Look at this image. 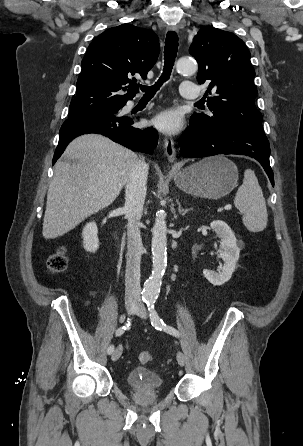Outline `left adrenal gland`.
<instances>
[{"label": "left adrenal gland", "mask_w": 303, "mask_h": 446, "mask_svg": "<svg viewBox=\"0 0 303 446\" xmlns=\"http://www.w3.org/2000/svg\"><path fill=\"white\" fill-rule=\"evenodd\" d=\"M192 210V208H185V209H183L182 207H181V204H180V202L178 203V211H179V213L181 214V215H185L186 213H188L189 211H191Z\"/></svg>", "instance_id": "1"}]
</instances>
